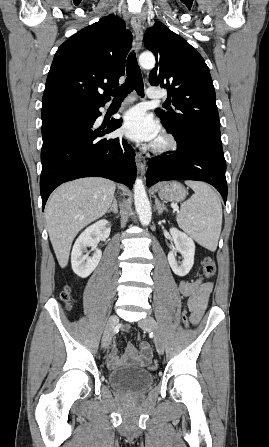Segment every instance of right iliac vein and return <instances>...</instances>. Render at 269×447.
Masks as SVG:
<instances>
[{"label": "right iliac vein", "mask_w": 269, "mask_h": 447, "mask_svg": "<svg viewBox=\"0 0 269 447\" xmlns=\"http://www.w3.org/2000/svg\"><path fill=\"white\" fill-rule=\"evenodd\" d=\"M119 323V318L117 316H112L109 321L108 324L105 327L104 333H103V338H102V346L104 348H107L111 342V339L113 337V332H114V328L116 326V324Z\"/></svg>", "instance_id": "1"}]
</instances>
